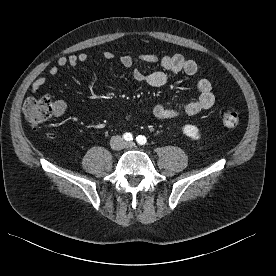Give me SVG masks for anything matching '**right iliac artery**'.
Segmentation results:
<instances>
[{"mask_svg": "<svg viewBox=\"0 0 276 276\" xmlns=\"http://www.w3.org/2000/svg\"><path fill=\"white\" fill-rule=\"evenodd\" d=\"M123 138L125 141L130 142L133 140V135L131 133L126 132V133H124Z\"/></svg>", "mask_w": 276, "mask_h": 276, "instance_id": "right-iliac-artery-1", "label": "right iliac artery"}]
</instances>
